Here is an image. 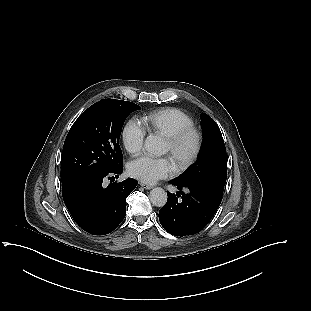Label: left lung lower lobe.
<instances>
[{
	"mask_svg": "<svg viewBox=\"0 0 311 311\" xmlns=\"http://www.w3.org/2000/svg\"><path fill=\"white\" fill-rule=\"evenodd\" d=\"M170 183L179 190L186 187L190 192L179 191L176 195L167 192V203L159 211L161 225L167 232L181 237L201 231L215 214L222 195L203 185L182 184L174 179Z\"/></svg>",
	"mask_w": 311,
	"mask_h": 311,
	"instance_id": "left-lung-lower-lobe-1",
	"label": "left lung lower lobe"
}]
</instances>
